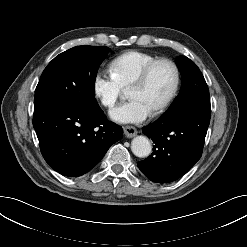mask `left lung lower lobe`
Returning <instances> with one entry per match:
<instances>
[{
  "label": "left lung lower lobe",
  "instance_id": "1",
  "mask_svg": "<svg viewBox=\"0 0 247 247\" xmlns=\"http://www.w3.org/2000/svg\"><path fill=\"white\" fill-rule=\"evenodd\" d=\"M210 116L209 96H199L143 127L154 146L153 153L137 163L142 173L156 183L173 182L183 176L202 155Z\"/></svg>",
  "mask_w": 247,
  "mask_h": 247
}]
</instances>
